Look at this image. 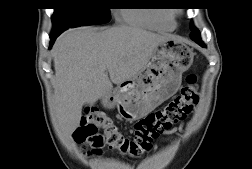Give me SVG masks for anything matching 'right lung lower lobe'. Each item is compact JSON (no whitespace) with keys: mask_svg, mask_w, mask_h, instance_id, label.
Listing matches in <instances>:
<instances>
[{"mask_svg":"<svg viewBox=\"0 0 252 169\" xmlns=\"http://www.w3.org/2000/svg\"><path fill=\"white\" fill-rule=\"evenodd\" d=\"M62 33L60 31H53L50 35V47L53 45L54 41L56 40V38L58 37V35Z\"/></svg>","mask_w":252,"mask_h":169,"instance_id":"1","label":"right lung lower lobe"}]
</instances>
